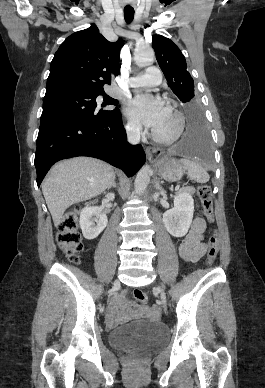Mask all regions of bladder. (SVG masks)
I'll use <instances>...</instances> for the list:
<instances>
[{
	"label": "bladder",
	"mask_w": 265,
	"mask_h": 388,
	"mask_svg": "<svg viewBox=\"0 0 265 388\" xmlns=\"http://www.w3.org/2000/svg\"><path fill=\"white\" fill-rule=\"evenodd\" d=\"M110 346L135 352L154 350L165 342V329L151 321L132 322L113 329L108 334Z\"/></svg>",
	"instance_id": "1"
}]
</instances>
